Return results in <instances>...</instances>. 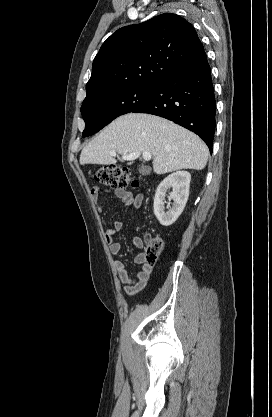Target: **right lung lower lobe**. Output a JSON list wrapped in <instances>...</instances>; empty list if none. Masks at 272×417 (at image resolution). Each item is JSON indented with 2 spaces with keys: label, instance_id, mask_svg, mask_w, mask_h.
Masks as SVG:
<instances>
[{
  "label": "right lung lower lobe",
  "instance_id": "98d812e1",
  "mask_svg": "<svg viewBox=\"0 0 272 417\" xmlns=\"http://www.w3.org/2000/svg\"><path fill=\"white\" fill-rule=\"evenodd\" d=\"M132 112L171 120L196 133L212 152L216 104L205 51L167 75L150 99Z\"/></svg>",
  "mask_w": 272,
  "mask_h": 417
}]
</instances>
